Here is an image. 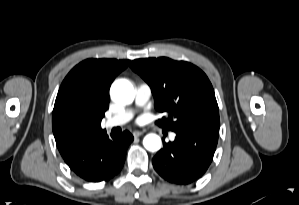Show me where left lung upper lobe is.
<instances>
[{
	"instance_id": "1",
	"label": "left lung upper lobe",
	"mask_w": 299,
	"mask_h": 205,
	"mask_svg": "<svg viewBox=\"0 0 299 205\" xmlns=\"http://www.w3.org/2000/svg\"><path fill=\"white\" fill-rule=\"evenodd\" d=\"M131 68L151 87L156 109L168 115L158 121L168 130L219 126L213 87L203 71L166 57L136 59Z\"/></svg>"
}]
</instances>
